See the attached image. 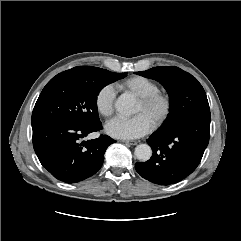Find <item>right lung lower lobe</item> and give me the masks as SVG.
Segmentation results:
<instances>
[{
    "instance_id": "obj_1",
    "label": "right lung lower lobe",
    "mask_w": 241,
    "mask_h": 241,
    "mask_svg": "<svg viewBox=\"0 0 241 241\" xmlns=\"http://www.w3.org/2000/svg\"><path fill=\"white\" fill-rule=\"evenodd\" d=\"M33 147L42 166L56 179L76 183L94 175L102 166L104 153L115 142L107 135L97 139H81L102 129L51 121L32 125Z\"/></svg>"
}]
</instances>
